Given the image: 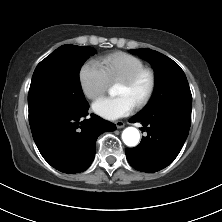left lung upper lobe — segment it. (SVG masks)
Returning <instances> with one entry per match:
<instances>
[{"mask_svg":"<svg viewBox=\"0 0 222 222\" xmlns=\"http://www.w3.org/2000/svg\"><path fill=\"white\" fill-rule=\"evenodd\" d=\"M150 62L155 71L156 84L153 97L141 111L147 112L166 104H177L192 108V95L185 73L180 66L167 56L151 50H132Z\"/></svg>","mask_w":222,"mask_h":222,"instance_id":"obj_1","label":"left lung upper lobe"}]
</instances>
